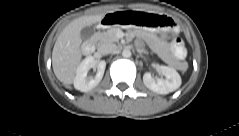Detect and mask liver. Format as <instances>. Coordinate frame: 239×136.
Here are the masks:
<instances>
[{
    "mask_svg": "<svg viewBox=\"0 0 239 136\" xmlns=\"http://www.w3.org/2000/svg\"><path fill=\"white\" fill-rule=\"evenodd\" d=\"M104 14L82 16L71 21L58 36L52 51V67L65 85L74 82L76 70L82 59L81 30L100 22Z\"/></svg>",
    "mask_w": 239,
    "mask_h": 136,
    "instance_id": "1",
    "label": "liver"
}]
</instances>
